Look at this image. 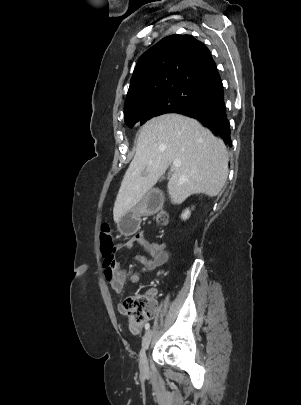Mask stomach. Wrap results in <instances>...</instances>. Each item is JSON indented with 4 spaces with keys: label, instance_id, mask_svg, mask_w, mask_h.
<instances>
[{
    "label": "stomach",
    "instance_id": "1",
    "mask_svg": "<svg viewBox=\"0 0 301 405\" xmlns=\"http://www.w3.org/2000/svg\"><path fill=\"white\" fill-rule=\"evenodd\" d=\"M140 209H131L126 214H124L120 221L117 223L120 232L131 233L134 232L140 223ZM132 227L129 228V226Z\"/></svg>",
    "mask_w": 301,
    "mask_h": 405
}]
</instances>
